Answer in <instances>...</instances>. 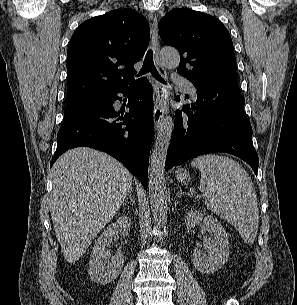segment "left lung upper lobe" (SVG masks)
Segmentation results:
<instances>
[{
  "label": "left lung upper lobe",
  "mask_w": 297,
  "mask_h": 305,
  "mask_svg": "<svg viewBox=\"0 0 297 305\" xmlns=\"http://www.w3.org/2000/svg\"><path fill=\"white\" fill-rule=\"evenodd\" d=\"M159 31L166 45L179 50L177 72L196 88L237 80L231 36L216 17L177 8L161 19Z\"/></svg>",
  "instance_id": "5c2ea615"
}]
</instances>
